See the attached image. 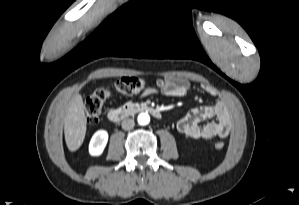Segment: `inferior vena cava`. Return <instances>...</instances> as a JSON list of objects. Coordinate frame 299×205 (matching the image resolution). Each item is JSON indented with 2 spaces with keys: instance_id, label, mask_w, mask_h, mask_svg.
Listing matches in <instances>:
<instances>
[{
  "instance_id": "602c4592",
  "label": "inferior vena cava",
  "mask_w": 299,
  "mask_h": 205,
  "mask_svg": "<svg viewBox=\"0 0 299 205\" xmlns=\"http://www.w3.org/2000/svg\"><path fill=\"white\" fill-rule=\"evenodd\" d=\"M134 125H135V122L133 119L127 118L122 121V128L124 130H131V129H133Z\"/></svg>"
}]
</instances>
